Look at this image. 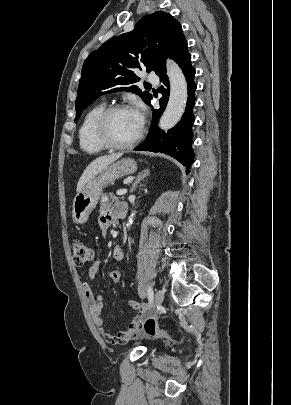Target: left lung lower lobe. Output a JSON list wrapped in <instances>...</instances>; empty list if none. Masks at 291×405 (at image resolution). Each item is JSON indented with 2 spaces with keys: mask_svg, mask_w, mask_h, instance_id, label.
Masks as SVG:
<instances>
[{
  "mask_svg": "<svg viewBox=\"0 0 291 405\" xmlns=\"http://www.w3.org/2000/svg\"><path fill=\"white\" fill-rule=\"evenodd\" d=\"M170 57L178 63L186 77L188 99L185 113L177 125L169 129L167 132L157 128V121L166 108L169 96L170 85L164 65L156 73L165 87L163 88L162 86L163 92L162 98L160 99V109L153 110L151 131L147 135V138L134 150L160 152L170 155L187 167L186 173L188 174L194 159V152L191 145V126L195 121L192 107L196 101L194 91L197 88V84L194 83L195 69L191 65V55L188 52L187 41L185 38L180 41ZM148 105H151V101Z\"/></svg>",
  "mask_w": 291,
  "mask_h": 405,
  "instance_id": "left-lung-lower-lobe-1",
  "label": "left lung lower lobe"
}]
</instances>
